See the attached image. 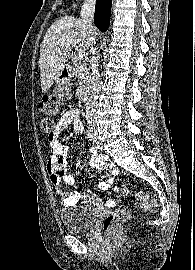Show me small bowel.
<instances>
[{
	"mask_svg": "<svg viewBox=\"0 0 195 270\" xmlns=\"http://www.w3.org/2000/svg\"><path fill=\"white\" fill-rule=\"evenodd\" d=\"M71 124L74 126L76 133L79 134L82 132L83 123L80 119V111L78 109H69L63 112L55 126L53 134L49 136L48 141L51 149V156L46 164V169L49 174L50 181L60 194L62 204L65 207L75 206L80 200L85 203H99L100 201L90 190L80 195L77 192L65 191L60 188L61 182L69 186L73 185L75 182L74 177L66 173V154L68 152V146L62 145L58 141L60 134ZM90 152L92 154L90 165L96 169H107L110 173L102 176L99 188L107 189L111 187L114 181V175L118 173L117 166L108 162L106 158L98 154L95 149L91 148ZM115 191H118V188H115ZM116 203L117 201L114 198H109L106 201V204L109 207H114Z\"/></svg>",
	"mask_w": 195,
	"mask_h": 270,
	"instance_id": "obj_1",
	"label": "small bowel"
}]
</instances>
